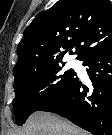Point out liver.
I'll list each match as a JSON object with an SVG mask.
<instances>
[{
	"label": "liver",
	"instance_id": "liver-1",
	"mask_svg": "<svg viewBox=\"0 0 112 135\" xmlns=\"http://www.w3.org/2000/svg\"><path fill=\"white\" fill-rule=\"evenodd\" d=\"M17 135H89L71 122L47 112H35Z\"/></svg>",
	"mask_w": 112,
	"mask_h": 135
}]
</instances>
